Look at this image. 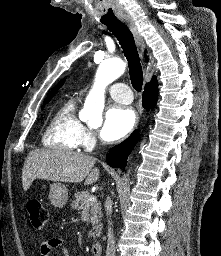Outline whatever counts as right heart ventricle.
Wrapping results in <instances>:
<instances>
[{
	"instance_id": "e07e8e85",
	"label": "right heart ventricle",
	"mask_w": 221,
	"mask_h": 256,
	"mask_svg": "<svg viewBox=\"0 0 221 256\" xmlns=\"http://www.w3.org/2000/svg\"><path fill=\"white\" fill-rule=\"evenodd\" d=\"M74 98L60 104L51 115L43 136V144L47 147L74 151L79 145V131L82 126L75 114Z\"/></svg>"
}]
</instances>
